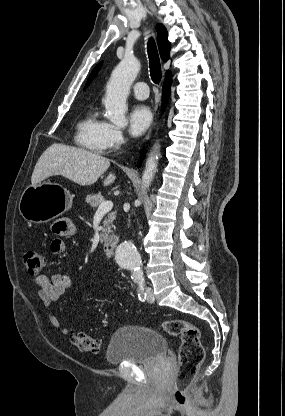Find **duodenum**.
<instances>
[{"mask_svg": "<svg viewBox=\"0 0 285 416\" xmlns=\"http://www.w3.org/2000/svg\"><path fill=\"white\" fill-rule=\"evenodd\" d=\"M119 240L115 236L107 237L102 244V249L105 256L110 257L113 254L115 247L117 246Z\"/></svg>", "mask_w": 285, "mask_h": 416, "instance_id": "obj_1", "label": "duodenum"}]
</instances>
